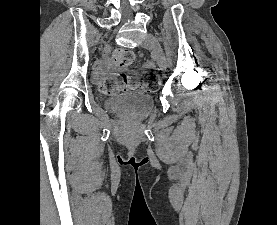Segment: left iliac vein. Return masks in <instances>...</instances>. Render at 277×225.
Segmentation results:
<instances>
[{"mask_svg":"<svg viewBox=\"0 0 277 225\" xmlns=\"http://www.w3.org/2000/svg\"><path fill=\"white\" fill-rule=\"evenodd\" d=\"M142 46L153 52L158 67L164 70L166 68V58L158 39L149 33L145 36Z\"/></svg>","mask_w":277,"mask_h":225,"instance_id":"left-iliac-vein-1","label":"left iliac vein"}]
</instances>
